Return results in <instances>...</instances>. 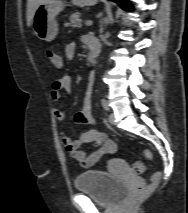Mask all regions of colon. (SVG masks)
I'll use <instances>...</instances> for the list:
<instances>
[{
  "label": "colon",
  "mask_w": 188,
  "mask_h": 213,
  "mask_svg": "<svg viewBox=\"0 0 188 213\" xmlns=\"http://www.w3.org/2000/svg\"><path fill=\"white\" fill-rule=\"evenodd\" d=\"M47 57L49 60H53L55 62H59V57L58 54L55 53L54 51L48 50L46 53ZM146 155L148 157H151L150 152L146 151ZM131 171L134 175H140L145 171V163L142 160H138L136 161L132 167H131ZM159 173L155 172L153 175V178L156 179L158 177ZM150 192V188L148 186H145L143 184H140L137 188L136 191L134 193V197H133V202L137 203L139 201H141L145 196L148 195V193Z\"/></svg>",
  "instance_id": "obj_1"
}]
</instances>
